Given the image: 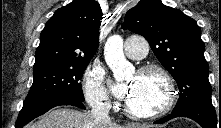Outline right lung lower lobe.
I'll list each match as a JSON object with an SVG mask.
<instances>
[{"label":"right lung lower lobe","mask_w":221,"mask_h":128,"mask_svg":"<svg viewBox=\"0 0 221 128\" xmlns=\"http://www.w3.org/2000/svg\"><path fill=\"white\" fill-rule=\"evenodd\" d=\"M60 105H73L85 109L82 101L76 100L71 97L54 96L46 98L31 104L23 105V108L20 111L18 119L16 121L15 128H22L25 124L29 123L34 118L46 113L51 108Z\"/></svg>","instance_id":"98d812e1"}]
</instances>
